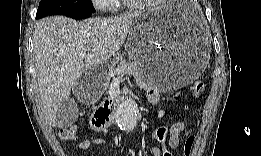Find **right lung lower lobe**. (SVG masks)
<instances>
[{
    "label": "right lung lower lobe",
    "mask_w": 261,
    "mask_h": 156,
    "mask_svg": "<svg viewBox=\"0 0 261 156\" xmlns=\"http://www.w3.org/2000/svg\"><path fill=\"white\" fill-rule=\"evenodd\" d=\"M92 13H77L74 14L73 16H71L72 18H76V19H85L88 18L89 16H91Z\"/></svg>",
    "instance_id": "98d812e1"
}]
</instances>
